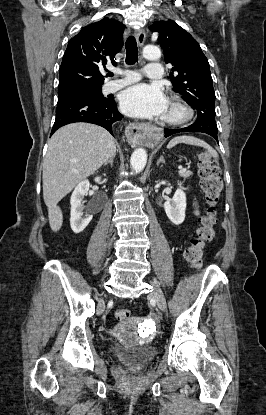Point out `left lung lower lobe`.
<instances>
[{"label":"left lung lower lobe","mask_w":266,"mask_h":415,"mask_svg":"<svg viewBox=\"0 0 266 415\" xmlns=\"http://www.w3.org/2000/svg\"><path fill=\"white\" fill-rule=\"evenodd\" d=\"M179 132H197V131L192 129L190 126L186 128H181V129H165V137H168L172 134L179 133ZM209 135H211L213 138H215L216 141H218L217 135H213V134H209Z\"/></svg>","instance_id":"left-lung-lower-lobe-1"}]
</instances>
